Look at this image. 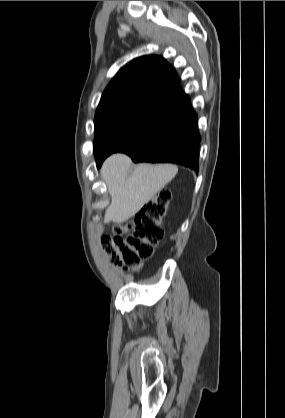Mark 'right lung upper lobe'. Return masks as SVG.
<instances>
[{
    "label": "right lung upper lobe",
    "instance_id": "obj_1",
    "mask_svg": "<svg viewBox=\"0 0 285 418\" xmlns=\"http://www.w3.org/2000/svg\"><path fill=\"white\" fill-rule=\"evenodd\" d=\"M129 101L176 110L190 98L179 86L176 71L163 57L143 56L120 69L105 89L97 110Z\"/></svg>",
    "mask_w": 285,
    "mask_h": 418
}]
</instances>
